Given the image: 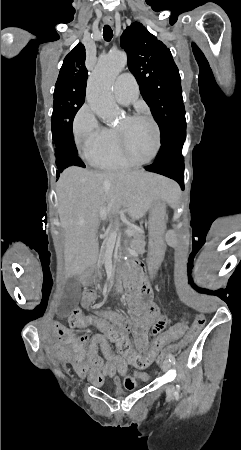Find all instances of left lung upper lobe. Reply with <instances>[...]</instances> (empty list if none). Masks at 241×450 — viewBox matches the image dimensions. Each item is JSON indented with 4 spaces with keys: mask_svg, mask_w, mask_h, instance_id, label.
Returning a JSON list of instances; mask_svg holds the SVG:
<instances>
[{
    "mask_svg": "<svg viewBox=\"0 0 241 450\" xmlns=\"http://www.w3.org/2000/svg\"><path fill=\"white\" fill-rule=\"evenodd\" d=\"M121 47L143 99L151 108L161 132V142L174 129L186 125L181 79L170 50L141 23L123 32Z\"/></svg>",
    "mask_w": 241,
    "mask_h": 450,
    "instance_id": "5c2ea615",
    "label": "left lung upper lobe"
}]
</instances>
